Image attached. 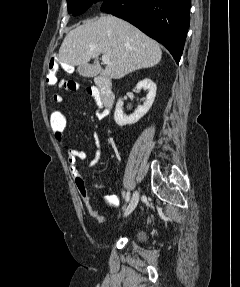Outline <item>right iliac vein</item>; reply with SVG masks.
<instances>
[{
  "label": "right iliac vein",
  "instance_id": "63e3f726",
  "mask_svg": "<svg viewBox=\"0 0 240 287\" xmlns=\"http://www.w3.org/2000/svg\"><path fill=\"white\" fill-rule=\"evenodd\" d=\"M138 201H139V192L138 191H135L133 193V196L131 198V201L124 213L125 216H128L129 214H131L133 212V210L136 208L137 204H138Z\"/></svg>",
  "mask_w": 240,
  "mask_h": 287
}]
</instances>
